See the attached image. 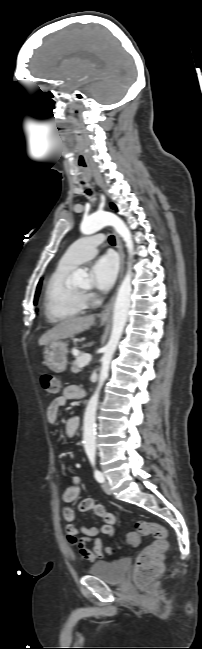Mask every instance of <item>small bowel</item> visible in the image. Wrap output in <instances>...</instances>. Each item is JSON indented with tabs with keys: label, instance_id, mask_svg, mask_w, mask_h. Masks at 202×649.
Returning a JSON list of instances; mask_svg holds the SVG:
<instances>
[{
	"label": "small bowel",
	"instance_id": "obj_1",
	"mask_svg": "<svg viewBox=\"0 0 202 649\" xmlns=\"http://www.w3.org/2000/svg\"><path fill=\"white\" fill-rule=\"evenodd\" d=\"M84 396V390L78 385H68L64 388L63 394L51 401L46 410V418L49 424H54L59 416L60 409L68 400L80 399ZM79 427V417L73 415L65 423L64 437L71 438L75 436ZM80 494V478L74 477L72 482L64 489L62 498L65 502L71 503L77 500ZM81 512L92 511L95 515L102 518L103 524L93 527H77L74 524L76 514L72 508L66 507L63 510V518L67 522L66 534L71 545L78 548L80 558L85 561L94 562L103 558V545L99 539L100 534L108 535L113 538L115 533V517L106 511L105 507L96 503L93 499L87 498L81 501L78 507ZM113 518L110 521L107 517ZM92 544L88 548L87 544Z\"/></svg>",
	"mask_w": 202,
	"mask_h": 649
}]
</instances>
